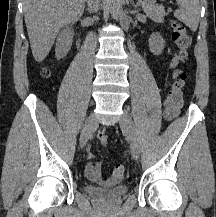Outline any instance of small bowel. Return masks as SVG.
Listing matches in <instances>:
<instances>
[{"instance_id": "small-bowel-1", "label": "small bowel", "mask_w": 216, "mask_h": 217, "mask_svg": "<svg viewBox=\"0 0 216 217\" xmlns=\"http://www.w3.org/2000/svg\"><path fill=\"white\" fill-rule=\"evenodd\" d=\"M178 64V57L174 56L170 61V67L175 68ZM88 163L85 168L86 178L96 184L101 186H111L114 185L117 181L111 177L108 179H103L101 176V165L95 161V156L93 153H87Z\"/></svg>"}]
</instances>
